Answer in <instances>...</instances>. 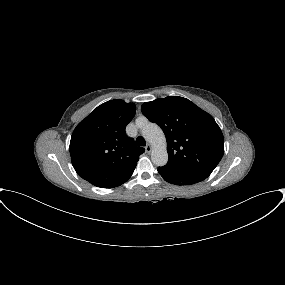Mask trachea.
<instances>
[{"instance_id": "trachea-1", "label": "trachea", "mask_w": 285, "mask_h": 285, "mask_svg": "<svg viewBox=\"0 0 285 285\" xmlns=\"http://www.w3.org/2000/svg\"><path fill=\"white\" fill-rule=\"evenodd\" d=\"M136 145L137 146H145L146 145V141L144 140L143 137H138L136 139Z\"/></svg>"}]
</instances>
